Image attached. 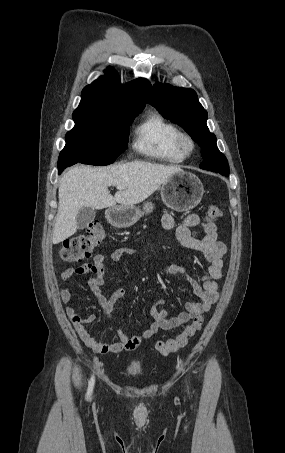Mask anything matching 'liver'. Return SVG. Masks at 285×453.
<instances>
[{
	"mask_svg": "<svg viewBox=\"0 0 285 453\" xmlns=\"http://www.w3.org/2000/svg\"><path fill=\"white\" fill-rule=\"evenodd\" d=\"M183 171L178 166H165L133 161L109 167L76 166L59 181V207L54 226L53 244L74 235L77 215L82 207L104 209L134 206L152 195L170 176ZM109 186L123 189L110 194Z\"/></svg>",
	"mask_w": 285,
	"mask_h": 453,
	"instance_id": "obj_1",
	"label": "liver"
}]
</instances>
